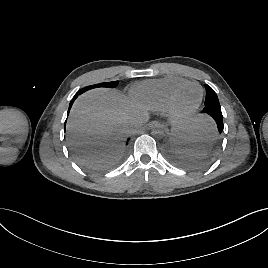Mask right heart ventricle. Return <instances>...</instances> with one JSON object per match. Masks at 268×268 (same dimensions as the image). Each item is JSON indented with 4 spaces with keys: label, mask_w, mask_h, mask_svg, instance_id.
<instances>
[{
    "label": "right heart ventricle",
    "mask_w": 268,
    "mask_h": 268,
    "mask_svg": "<svg viewBox=\"0 0 268 268\" xmlns=\"http://www.w3.org/2000/svg\"><path fill=\"white\" fill-rule=\"evenodd\" d=\"M186 83L188 80L179 77L146 80L134 85L131 93L135 101L142 107L160 110L166 107L171 93Z\"/></svg>",
    "instance_id": "right-heart-ventricle-1"
}]
</instances>
